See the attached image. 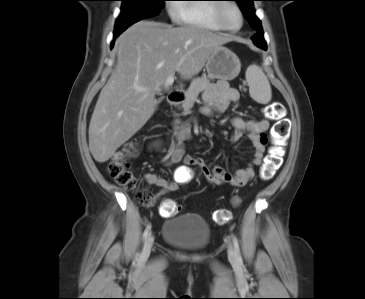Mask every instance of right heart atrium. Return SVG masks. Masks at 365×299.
<instances>
[{"label": "right heart atrium", "mask_w": 365, "mask_h": 299, "mask_svg": "<svg viewBox=\"0 0 365 299\" xmlns=\"http://www.w3.org/2000/svg\"><path fill=\"white\" fill-rule=\"evenodd\" d=\"M169 13L172 17H176L177 8L173 4L169 6Z\"/></svg>", "instance_id": "right-heart-atrium-1"}]
</instances>
